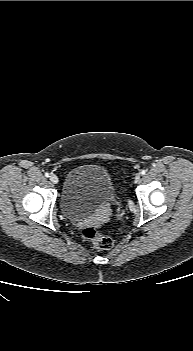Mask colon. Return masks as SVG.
<instances>
[{
	"mask_svg": "<svg viewBox=\"0 0 193 351\" xmlns=\"http://www.w3.org/2000/svg\"><path fill=\"white\" fill-rule=\"evenodd\" d=\"M82 235L98 250H108L112 247V239L98 231L95 227H85L82 230Z\"/></svg>",
	"mask_w": 193,
	"mask_h": 351,
	"instance_id": "1",
	"label": "colon"
}]
</instances>
